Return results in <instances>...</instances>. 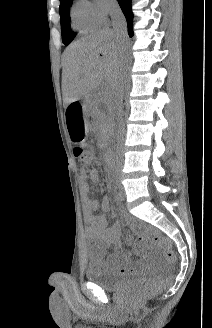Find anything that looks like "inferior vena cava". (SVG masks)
Here are the masks:
<instances>
[{"mask_svg": "<svg viewBox=\"0 0 212 328\" xmlns=\"http://www.w3.org/2000/svg\"><path fill=\"white\" fill-rule=\"evenodd\" d=\"M109 14L112 19L113 31L115 35L125 40L127 35V27H126V20L125 17L120 9V7L114 3L110 6ZM124 88H125V79L122 72L119 73L118 78L115 82V86L113 92L111 94L114 113H115V120L117 125V140L118 145H122L123 136H124V121H123V96H124ZM118 164L115 167L116 174L121 176L123 174L122 168L124 164L121 162V157L118 159Z\"/></svg>", "mask_w": 212, "mask_h": 328, "instance_id": "602c4592", "label": "inferior vena cava"}]
</instances>
